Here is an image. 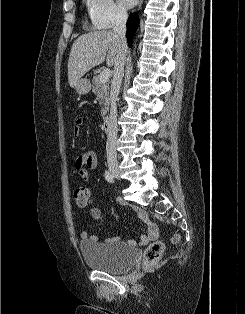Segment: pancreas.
<instances>
[{"mask_svg": "<svg viewBox=\"0 0 245 314\" xmlns=\"http://www.w3.org/2000/svg\"><path fill=\"white\" fill-rule=\"evenodd\" d=\"M93 93L95 94L97 100L100 104H103L101 110V116H105L109 110L110 97H109V83H102L100 81V75H97L93 78Z\"/></svg>", "mask_w": 245, "mask_h": 314, "instance_id": "1", "label": "pancreas"}]
</instances>
